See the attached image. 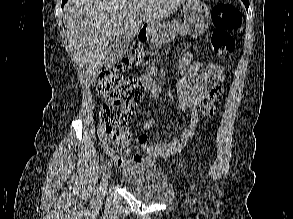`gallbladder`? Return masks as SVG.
Returning a JSON list of instances; mask_svg holds the SVG:
<instances>
[{"mask_svg": "<svg viewBox=\"0 0 293 219\" xmlns=\"http://www.w3.org/2000/svg\"><path fill=\"white\" fill-rule=\"evenodd\" d=\"M130 39L119 35L110 43L104 62L107 65H114L120 61L126 54L129 47Z\"/></svg>", "mask_w": 293, "mask_h": 219, "instance_id": "obj_1", "label": "gallbladder"}]
</instances>
